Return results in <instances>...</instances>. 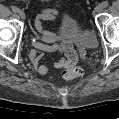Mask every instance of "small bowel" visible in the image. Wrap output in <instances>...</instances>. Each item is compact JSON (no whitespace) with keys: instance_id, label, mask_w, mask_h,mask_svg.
Instances as JSON below:
<instances>
[{"instance_id":"1","label":"small bowel","mask_w":119,"mask_h":119,"mask_svg":"<svg viewBox=\"0 0 119 119\" xmlns=\"http://www.w3.org/2000/svg\"><path fill=\"white\" fill-rule=\"evenodd\" d=\"M57 16L58 11L50 8L42 10L35 19V29L40 41L33 43L34 49L30 52V60L37 72L41 75H46L49 72L48 67L42 64L44 53L57 50V42L61 40L57 34L45 30L42 26V22L53 21ZM61 49L63 51V56L54 63V68L56 70H62L75 66L77 63V56L70 44L63 42Z\"/></svg>"}]
</instances>
